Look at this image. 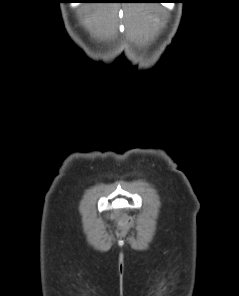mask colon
<instances>
[{
  "mask_svg": "<svg viewBox=\"0 0 239 296\" xmlns=\"http://www.w3.org/2000/svg\"><path fill=\"white\" fill-rule=\"evenodd\" d=\"M117 219L120 225L127 226L129 224V221L127 218H125L122 214H117Z\"/></svg>",
  "mask_w": 239,
  "mask_h": 296,
  "instance_id": "colon-1",
  "label": "colon"
}]
</instances>
